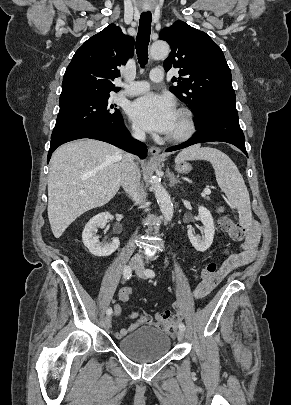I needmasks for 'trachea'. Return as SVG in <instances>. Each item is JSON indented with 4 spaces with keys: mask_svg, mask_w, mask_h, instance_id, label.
Here are the masks:
<instances>
[{
    "mask_svg": "<svg viewBox=\"0 0 291 405\" xmlns=\"http://www.w3.org/2000/svg\"><path fill=\"white\" fill-rule=\"evenodd\" d=\"M151 20V12H143L140 16L139 29L136 37V53L141 67H144L148 61Z\"/></svg>",
    "mask_w": 291,
    "mask_h": 405,
    "instance_id": "1",
    "label": "trachea"
}]
</instances>
